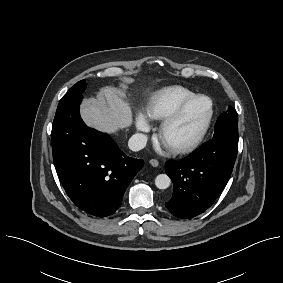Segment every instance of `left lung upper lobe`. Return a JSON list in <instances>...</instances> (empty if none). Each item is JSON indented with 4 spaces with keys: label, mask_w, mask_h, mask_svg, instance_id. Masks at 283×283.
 Returning <instances> with one entry per match:
<instances>
[{
    "label": "left lung upper lobe",
    "mask_w": 283,
    "mask_h": 283,
    "mask_svg": "<svg viewBox=\"0 0 283 283\" xmlns=\"http://www.w3.org/2000/svg\"><path fill=\"white\" fill-rule=\"evenodd\" d=\"M212 139L222 140L238 147V116L232 107H229L228 112L217 120Z\"/></svg>",
    "instance_id": "obj_1"
}]
</instances>
